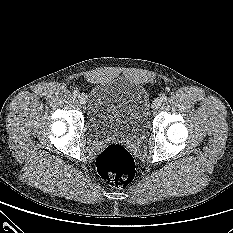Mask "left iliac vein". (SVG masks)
I'll return each instance as SVG.
<instances>
[{
  "label": "left iliac vein",
  "instance_id": "4c4485c4",
  "mask_svg": "<svg viewBox=\"0 0 233 233\" xmlns=\"http://www.w3.org/2000/svg\"><path fill=\"white\" fill-rule=\"evenodd\" d=\"M161 104H162V101L160 98L155 99L152 103V109L158 110L160 108Z\"/></svg>",
  "mask_w": 233,
  "mask_h": 233
}]
</instances>
